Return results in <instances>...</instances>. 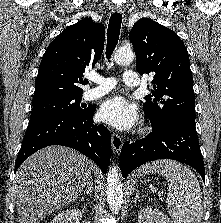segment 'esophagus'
Returning <instances> with one entry per match:
<instances>
[{
    "instance_id": "esophagus-1",
    "label": "esophagus",
    "mask_w": 221,
    "mask_h": 223,
    "mask_svg": "<svg viewBox=\"0 0 221 223\" xmlns=\"http://www.w3.org/2000/svg\"><path fill=\"white\" fill-rule=\"evenodd\" d=\"M113 11L117 12V13H121V14H123L125 12L124 7L122 5L115 6L113 8ZM111 145H112V149H113L114 153L120 152V150L123 146L122 137L116 133H113L112 137H111Z\"/></svg>"
}]
</instances>
